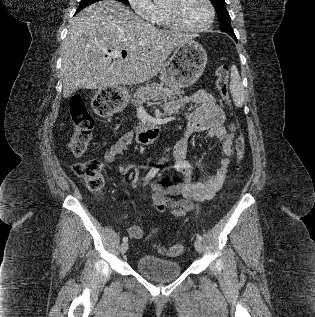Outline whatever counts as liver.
<instances>
[{
    "label": "liver",
    "instance_id": "1",
    "mask_svg": "<svg viewBox=\"0 0 315 317\" xmlns=\"http://www.w3.org/2000/svg\"><path fill=\"white\" fill-rule=\"evenodd\" d=\"M193 38L192 34L159 30L114 0L90 5L68 25L62 49L63 96L68 98L78 88L144 83L163 68L175 47ZM122 49L127 51L124 59Z\"/></svg>",
    "mask_w": 315,
    "mask_h": 317
}]
</instances>
